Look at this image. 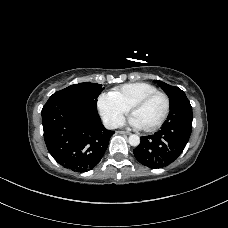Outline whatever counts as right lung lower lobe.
<instances>
[{"mask_svg": "<svg viewBox=\"0 0 228 228\" xmlns=\"http://www.w3.org/2000/svg\"><path fill=\"white\" fill-rule=\"evenodd\" d=\"M49 153L76 172L93 169L104 155L114 131L101 123L97 107L67 97H50L42 109Z\"/></svg>", "mask_w": 228, "mask_h": 228, "instance_id": "98d812e1", "label": "right lung lower lobe"}]
</instances>
